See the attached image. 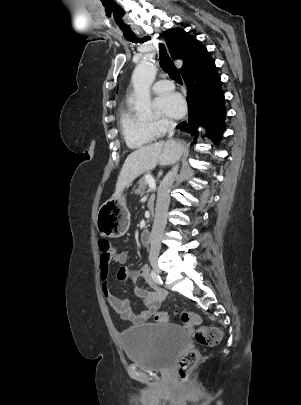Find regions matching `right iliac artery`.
Returning <instances> with one entry per match:
<instances>
[{
  "label": "right iliac artery",
  "instance_id": "obj_1",
  "mask_svg": "<svg viewBox=\"0 0 301 405\" xmlns=\"http://www.w3.org/2000/svg\"><path fill=\"white\" fill-rule=\"evenodd\" d=\"M151 277L155 283H160L161 278L159 275H157L154 271H151Z\"/></svg>",
  "mask_w": 301,
  "mask_h": 405
}]
</instances>
